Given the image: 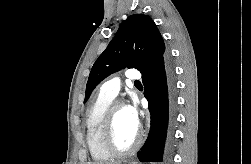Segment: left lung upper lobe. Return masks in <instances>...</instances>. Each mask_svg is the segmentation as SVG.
<instances>
[{
    "instance_id": "left-lung-upper-lobe-1",
    "label": "left lung upper lobe",
    "mask_w": 251,
    "mask_h": 164,
    "mask_svg": "<svg viewBox=\"0 0 251 164\" xmlns=\"http://www.w3.org/2000/svg\"><path fill=\"white\" fill-rule=\"evenodd\" d=\"M165 57V44L153 20L143 14L129 16L94 63L84 103L94 88L110 74L128 67L136 68L144 75Z\"/></svg>"
}]
</instances>
